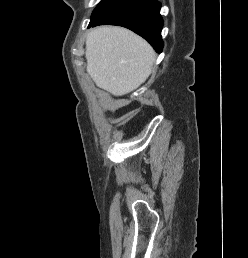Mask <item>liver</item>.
<instances>
[{
  "label": "liver",
  "instance_id": "liver-1",
  "mask_svg": "<svg viewBox=\"0 0 248 258\" xmlns=\"http://www.w3.org/2000/svg\"><path fill=\"white\" fill-rule=\"evenodd\" d=\"M87 73L95 84L114 96L137 89L152 71L156 53L128 29L102 26L86 39Z\"/></svg>",
  "mask_w": 248,
  "mask_h": 258
}]
</instances>
